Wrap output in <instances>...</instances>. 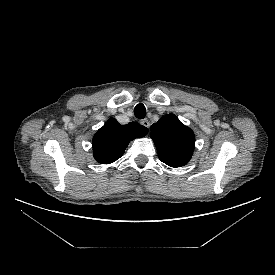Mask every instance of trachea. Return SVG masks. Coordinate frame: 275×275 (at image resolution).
I'll list each match as a JSON object with an SVG mask.
<instances>
[{
	"label": "trachea",
	"mask_w": 275,
	"mask_h": 275,
	"mask_svg": "<svg viewBox=\"0 0 275 275\" xmlns=\"http://www.w3.org/2000/svg\"><path fill=\"white\" fill-rule=\"evenodd\" d=\"M134 115L138 119L145 118L146 115V108L142 103H139L134 108Z\"/></svg>",
	"instance_id": "obj_1"
}]
</instances>
